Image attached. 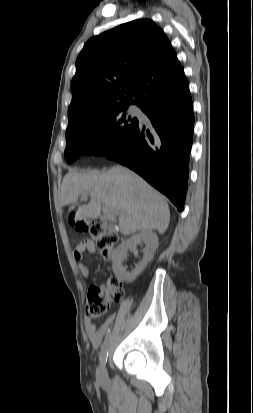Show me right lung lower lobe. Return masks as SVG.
Wrapping results in <instances>:
<instances>
[{
  "instance_id": "obj_1",
  "label": "right lung lower lobe",
  "mask_w": 253,
  "mask_h": 413,
  "mask_svg": "<svg viewBox=\"0 0 253 413\" xmlns=\"http://www.w3.org/2000/svg\"><path fill=\"white\" fill-rule=\"evenodd\" d=\"M140 108L151 120L152 129L138 124L104 156L137 172L182 211L194 129L189 88L179 96L155 99Z\"/></svg>"
}]
</instances>
